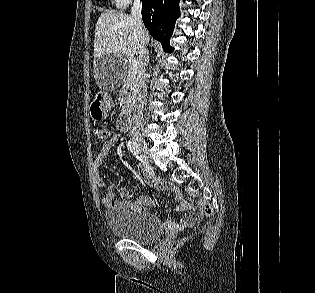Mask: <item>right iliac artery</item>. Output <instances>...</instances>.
<instances>
[{
    "label": "right iliac artery",
    "instance_id": "1",
    "mask_svg": "<svg viewBox=\"0 0 315 293\" xmlns=\"http://www.w3.org/2000/svg\"><path fill=\"white\" fill-rule=\"evenodd\" d=\"M127 147L128 150L134 155L136 156L137 159H141L142 155H141V151L137 145L136 142L134 141H128L127 143Z\"/></svg>",
    "mask_w": 315,
    "mask_h": 293
}]
</instances>
